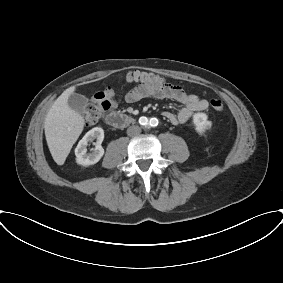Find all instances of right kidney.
Listing matches in <instances>:
<instances>
[{
	"mask_svg": "<svg viewBox=\"0 0 283 283\" xmlns=\"http://www.w3.org/2000/svg\"><path fill=\"white\" fill-rule=\"evenodd\" d=\"M95 139V148L91 153H87L88 142H92ZM103 139L104 130L102 128L95 127L88 131L75 148L76 162L82 166L96 164L104 155V149L101 146Z\"/></svg>",
	"mask_w": 283,
	"mask_h": 283,
	"instance_id": "obj_1",
	"label": "right kidney"
}]
</instances>
